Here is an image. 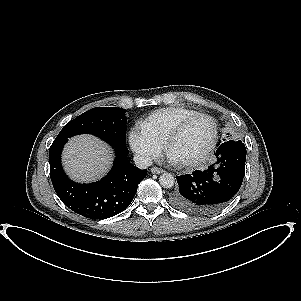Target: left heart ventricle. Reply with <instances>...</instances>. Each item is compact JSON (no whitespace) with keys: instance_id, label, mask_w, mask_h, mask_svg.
<instances>
[{"instance_id":"obj_1","label":"left heart ventricle","mask_w":301,"mask_h":301,"mask_svg":"<svg viewBox=\"0 0 301 301\" xmlns=\"http://www.w3.org/2000/svg\"><path fill=\"white\" fill-rule=\"evenodd\" d=\"M213 128L210 121L198 119L191 123L182 136L171 146L169 154L182 162L194 160L207 149L212 138Z\"/></svg>"}]
</instances>
